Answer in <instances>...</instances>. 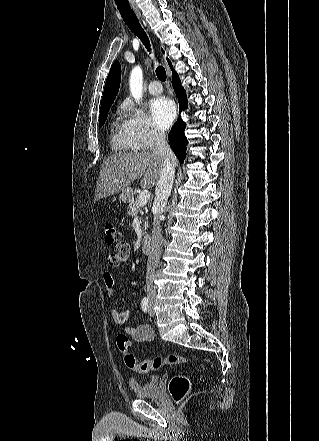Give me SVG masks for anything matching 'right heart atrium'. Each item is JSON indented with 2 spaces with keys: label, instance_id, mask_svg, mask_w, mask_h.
Returning a JSON list of instances; mask_svg holds the SVG:
<instances>
[{
  "label": "right heart atrium",
  "instance_id": "right-heart-atrium-1",
  "mask_svg": "<svg viewBox=\"0 0 319 441\" xmlns=\"http://www.w3.org/2000/svg\"><path fill=\"white\" fill-rule=\"evenodd\" d=\"M121 110L125 115V135L133 150H149L165 139L164 131L159 129L141 109L131 104H124Z\"/></svg>",
  "mask_w": 319,
  "mask_h": 441
}]
</instances>
